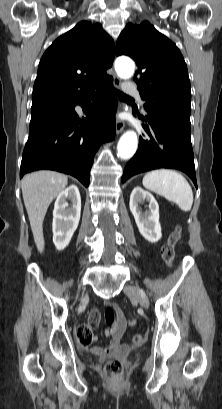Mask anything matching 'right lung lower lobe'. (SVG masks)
<instances>
[{
	"instance_id": "right-lung-lower-lobe-1",
	"label": "right lung lower lobe",
	"mask_w": 222,
	"mask_h": 409,
	"mask_svg": "<svg viewBox=\"0 0 222 409\" xmlns=\"http://www.w3.org/2000/svg\"><path fill=\"white\" fill-rule=\"evenodd\" d=\"M112 80L98 84L79 100L32 113L20 178L35 170L50 169L70 174L88 187L96 151L115 137L117 100ZM76 105L82 107L85 118H79Z\"/></svg>"
}]
</instances>
